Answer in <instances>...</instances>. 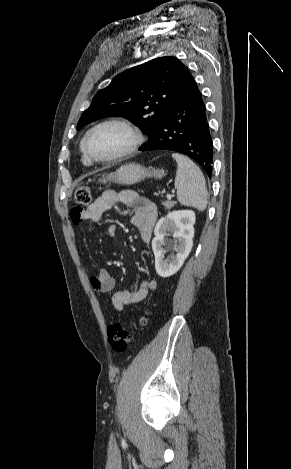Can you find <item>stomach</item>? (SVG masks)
I'll return each mask as SVG.
<instances>
[{
	"mask_svg": "<svg viewBox=\"0 0 291 469\" xmlns=\"http://www.w3.org/2000/svg\"><path fill=\"white\" fill-rule=\"evenodd\" d=\"M164 176V171L145 168L137 163H130L121 166L115 172L101 178L99 181L106 183L107 181L116 182L122 185L136 184L145 178L160 179Z\"/></svg>",
	"mask_w": 291,
	"mask_h": 469,
	"instance_id": "0dacf381",
	"label": "stomach"
}]
</instances>
